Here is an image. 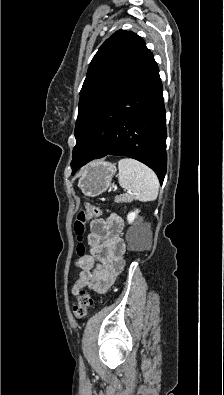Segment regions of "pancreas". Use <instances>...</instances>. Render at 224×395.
Masks as SVG:
<instances>
[{
    "mask_svg": "<svg viewBox=\"0 0 224 395\" xmlns=\"http://www.w3.org/2000/svg\"><path fill=\"white\" fill-rule=\"evenodd\" d=\"M115 201L119 202V203H123V202L126 203V202L131 201V196H129L127 194L119 195L115 198Z\"/></svg>",
    "mask_w": 224,
    "mask_h": 395,
    "instance_id": "obj_1",
    "label": "pancreas"
}]
</instances>
